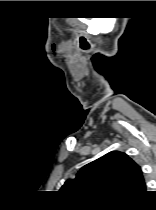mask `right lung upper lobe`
Listing matches in <instances>:
<instances>
[{
  "label": "right lung upper lobe",
  "instance_id": "cb5924a9",
  "mask_svg": "<svg viewBox=\"0 0 156 210\" xmlns=\"http://www.w3.org/2000/svg\"><path fill=\"white\" fill-rule=\"evenodd\" d=\"M60 191L88 202H131L146 192V183L141 167L133 159L112 151L82 167Z\"/></svg>",
  "mask_w": 156,
  "mask_h": 210
}]
</instances>
